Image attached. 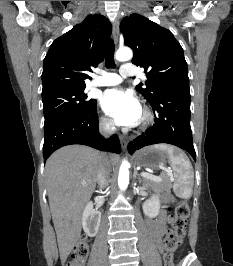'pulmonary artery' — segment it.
I'll list each match as a JSON object with an SVG mask.
<instances>
[{
    "label": "pulmonary artery",
    "mask_w": 233,
    "mask_h": 266,
    "mask_svg": "<svg viewBox=\"0 0 233 266\" xmlns=\"http://www.w3.org/2000/svg\"><path fill=\"white\" fill-rule=\"evenodd\" d=\"M135 75L136 71L133 65L125 64L121 67L119 74L112 72H102L99 76H97L94 80H92L90 86L92 87L113 86L119 84L123 78Z\"/></svg>",
    "instance_id": "1"
}]
</instances>
